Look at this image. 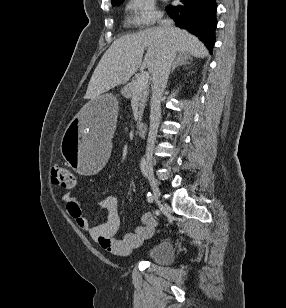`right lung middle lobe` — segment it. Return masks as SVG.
<instances>
[{
    "label": "right lung middle lobe",
    "instance_id": "right-lung-middle-lobe-1",
    "mask_svg": "<svg viewBox=\"0 0 286 308\" xmlns=\"http://www.w3.org/2000/svg\"><path fill=\"white\" fill-rule=\"evenodd\" d=\"M124 0H115L112 2V5L115 6V5H120Z\"/></svg>",
    "mask_w": 286,
    "mask_h": 308
}]
</instances>
